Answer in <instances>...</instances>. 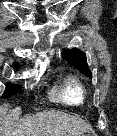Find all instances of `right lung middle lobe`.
Returning a JSON list of instances; mask_svg holds the SVG:
<instances>
[{
	"label": "right lung middle lobe",
	"instance_id": "1",
	"mask_svg": "<svg viewBox=\"0 0 117 136\" xmlns=\"http://www.w3.org/2000/svg\"><path fill=\"white\" fill-rule=\"evenodd\" d=\"M21 89V87L19 85H14L11 83H7L6 84V91L3 94V98H8L11 95L16 94L19 90Z\"/></svg>",
	"mask_w": 117,
	"mask_h": 136
}]
</instances>
